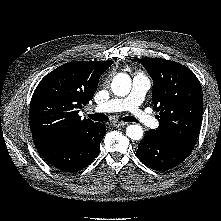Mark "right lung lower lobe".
I'll use <instances>...</instances> for the list:
<instances>
[{"label":"right lung lower lobe","instance_id":"right-lung-lower-lobe-1","mask_svg":"<svg viewBox=\"0 0 221 221\" xmlns=\"http://www.w3.org/2000/svg\"><path fill=\"white\" fill-rule=\"evenodd\" d=\"M105 133L106 126L98 123L66 140H33L38 152L49 164L65 172H76L97 157Z\"/></svg>","mask_w":221,"mask_h":221}]
</instances>
